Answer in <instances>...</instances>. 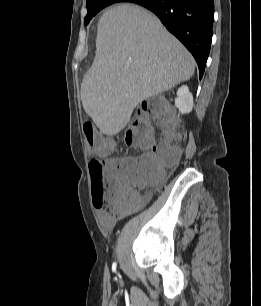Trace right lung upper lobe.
Listing matches in <instances>:
<instances>
[{
	"label": "right lung upper lobe",
	"instance_id": "right-lung-upper-lobe-1",
	"mask_svg": "<svg viewBox=\"0 0 261 306\" xmlns=\"http://www.w3.org/2000/svg\"><path fill=\"white\" fill-rule=\"evenodd\" d=\"M88 1V0H87ZM116 1H118V2H132V1H134V0H116ZM117 2V3H118Z\"/></svg>",
	"mask_w": 261,
	"mask_h": 306
}]
</instances>
